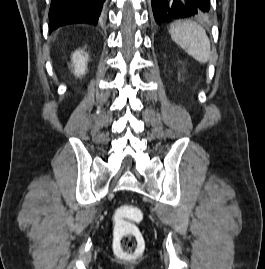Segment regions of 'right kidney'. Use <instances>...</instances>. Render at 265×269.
<instances>
[{"mask_svg": "<svg viewBox=\"0 0 265 269\" xmlns=\"http://www.w3.org/2000/svg\"><path fill=\"white\" fill-rule=\"evenodd\" d=\"M88 55L83 51H75L72 54V62L74 66V74L77 77L83 76L87 70Z\"/></svg>", "mask_w": 265, "mask_h": 269, "instance_id": "ca27d5eb", "label": "right kidney"}]
</instances>
